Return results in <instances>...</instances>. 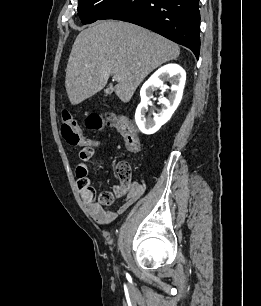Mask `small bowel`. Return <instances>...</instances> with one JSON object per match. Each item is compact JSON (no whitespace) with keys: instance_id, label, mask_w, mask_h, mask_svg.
Listing matches in <instances>:
<instances>
[{"instance_id":"obj_1","label":"small bowel","mask_w":261,"mask_h":306,"mask_svg":"<svg viewBox=\"0 0 261 306\" xmlns=\"http://www.w3.org/2000/svg\"><path fill=\"white\" fill-rule=\"evenodd\" d=\"M97 144L98 143L96 141H92V150L87 157L85 158L80 157L82 161H86L92 156L94 152L93 147L96 146ZM76 175L78 179L84 176L88 178V168L84 163H80L77 165ZM114 190H116L119 193V195H125V198L121 202V204L117 206L116 209L112 210L107 208L105 205L101 204L100 202H95L93 200L94 193L92 190L80 189L81 198L85 203L89 214L99 224H110L111 222H113L118 215L124 213L132 204H134L142 196L144 192L143 186L138 182H132L125 189H123L121 186H118Z\"/></svg>"}]
</instances>
